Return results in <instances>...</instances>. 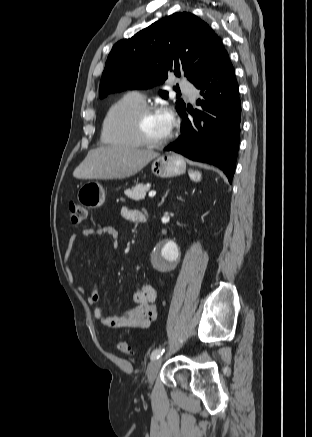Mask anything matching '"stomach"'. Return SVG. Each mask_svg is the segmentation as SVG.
I'll list each match as a JSON object with an SVG mask.
<instances>
[{
	"label": "stomach",
	"instance_id": "obj_1",
	"mask_svg": "<svg viewBox=\"0 0 312 437\" xmlns=\"http://www.w3.org/2000/svg\"><path fill=\"white\" fill-rule=\"evenodd\" d=\"M185 170L184 159L175 153L158 156L151 164L152 173L161 178L179 176ZM77 199L80 204L90 209L99 208L105 202L104 188L97 181H88L80 187Z\"/></svg>",
	"mask_w": 312,
	"mask_h": 437
}]
</instances>
